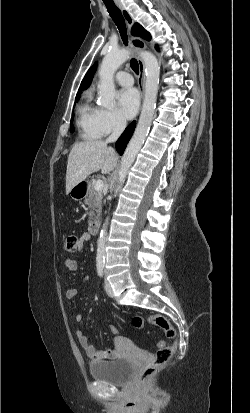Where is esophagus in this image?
Returning <instances> with one entry per match:
<instances>
[{
    "label": "esophagus",
    "mask_w": 250,
    "mask_h": 413,
    "mask_svg": "<svg viewBox=\"0 0 250 413\" xmlns=\"http://www.w3.org/2000/svg\"><path fill=\"white\" fill-rule=\"evenodd\" d=\"M119 8L121 10V13H122L126 23H127V26L129 28V30H131V28L134 24V20H133L132 16L130 15L128 10L122 4H119ZM131 43H132V46L135 48V50L138 52V56H137V60H138V64H139L138 85H139V88H140V91H141V96H142V99H143V97H144V82H145V65H144V62H143L141 56L139 55V52L146 48V43L143 39H141L138 36H132L131 37Z\"/></svg>",
    "instance_id": "obj_1"
}]
</instances>
